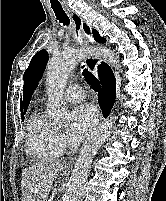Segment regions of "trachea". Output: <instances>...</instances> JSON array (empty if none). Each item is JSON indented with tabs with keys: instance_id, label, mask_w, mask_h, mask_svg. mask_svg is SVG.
Returning a JSON list of instances; mask_svg holds the SVG:
<instances>
[{
	"instance_id": "3493384b",
	"label": "trachea",
	"mask_w": 166,
	"mask_h": 201,
	"mask_svg": "<svg viewBox=\"0 0 166 201\" xmlns=\"http://www.w3.org/2000/svg\"><path fill=\"white\" fill-rule=\"evenodd\" d=\"M52 9L55 13L56 18L59 20V22L68 26L70 23V20L67 14L65 13V11L63 10V8L52 6ZM82 68H83L82 75L84 76L85 80L90 84L91 88L94 91L96 92L99 91L100 83L98 82V80L86 68H84V66Z\"/></svg>"
}]
</instances>
